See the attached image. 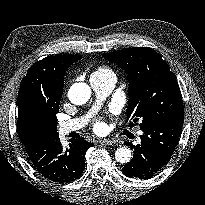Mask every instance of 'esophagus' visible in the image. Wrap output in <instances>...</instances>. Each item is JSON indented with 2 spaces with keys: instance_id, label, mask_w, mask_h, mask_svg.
Here are the masks:
<instances>
[{
  "instance_id": "obj_1",
  "label": "esophagus",
  "mask_w": 205,
  "mask_h": 205,
  "mask_svg": "<svg viewBox=\"0 0 205 205\" xmlns=\"http://www.w3.org/2000/svg\"><path fill=\"white\" fill-rule=\"evenodd\" d=\"M100 144L106 145V146H111V145H115L117 143L116 140H101L99 141Z\"/></svg>"
}]
</instances>
